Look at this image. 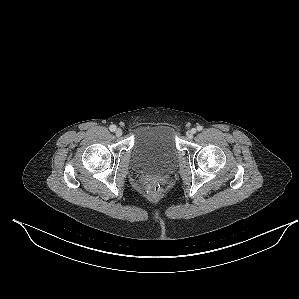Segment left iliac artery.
<instances>
[{
    "label": "left iliac artery",
    "instance_id": "44dca946",
    "mask_svg": "<svg viewBox=\"0 0 299 299\" xmlns=\"http://www.w3.org/2000/svg\"><path fill=\"white\" fill-rule=\"evenodd\" d=\"M202 129H203V127H202V126H200V125H199V126H197V130H198V131H202Z\"/></svg>",
    "mask_w": 299,
    "mask_h": 299
}]
</instances>
